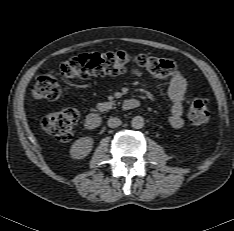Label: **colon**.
I'll return each mask as SVG.
<instances>
[{"label":"colon","mask_w":234,"mask_h":231,"mask_svg":"<svg viewBox=\"0 0 234 231\" xmlns=\"http://www.w3.org/2000/svg\"><path fill=\"white\" fill-rule=\"evenodd\" d=\"M129 67L158 79H167L178 70V64L172 60L116 51L82 53L63 62L59 72L64 79L84 80L95 76L118 75L124 73ZM32 93L37 99L57 100L61 95L57 77L49 72L39 74ZM78 117L76 109L65 108L45 115L41 126L45 132L65 142L72 139ZM188 118L193 125L206 124L209 120L207 101L203 98H195L190 105Z\"/></svg>","instance_id":"5ec220e1"}]
</instances>
